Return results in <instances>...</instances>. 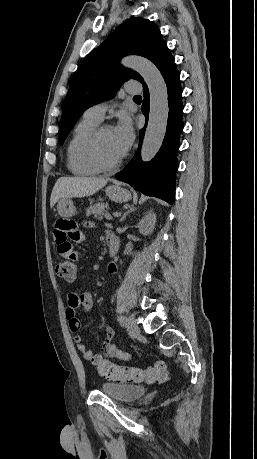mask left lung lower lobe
Listing matches in <instances>:
<instances>
[{
    "label": "left lung lower lobe",
    "mask_w": 257,
    "mask_h": 459,
    "mask_svg": "<svg viewBox=\"0 0 257 459\" xmlns=\"http://www.w3.org/2000/svg\"><path fill=\"white\" fill-rule=\"evenodd\" d=\"M168 90L169 115L163 144L150 162H142L140 147L144 137L146 125L139 132V148L134 158L126 167L116 174V179L126 182L148 196H154L172 204L175 197V174L178 168L176 153L179 148V136L183 129V105L180 75L174 58L168 54L159 65ZM144 100L142 112L149 116V91L143 83Z\"/></svg>",
    "instance_id": "obj_1"
}]
</instances>
